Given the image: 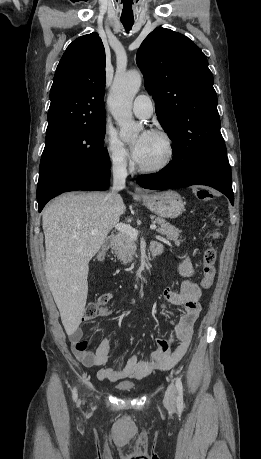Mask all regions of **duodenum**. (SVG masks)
<instances>
[{"instance_id": "1", "label": "duodenum", "mask_w": 261, "mask_h": 459, "mask_svg": "<svg viewBox=\"0 0 261 459\" xmlns=\"http://www.w3.org/2000/svg\"><path fill=\"white\" fill-rule=\"evenodd\" d=\"M114 235H110L106 238L104 244H103V249H108L114 242ZM149 252L152 256H157L162 253V245L156 241L151 242L149 246Z\"/></svg>"}]
</instances>
